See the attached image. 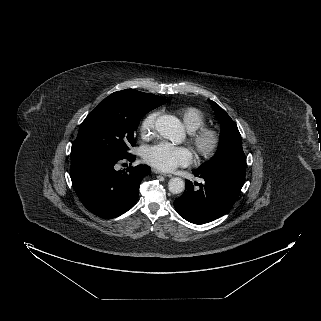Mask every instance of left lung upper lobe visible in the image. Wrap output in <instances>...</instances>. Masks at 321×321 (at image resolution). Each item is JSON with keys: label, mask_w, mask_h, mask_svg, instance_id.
Here are the masks:
<instances>
[{"label": "left lung upper lobe", "mask_w": 321, "mask_h": 321, "mask_svg": "<svg viewBox=\"0 0 321 321\" xmlns=\"http://www.w3.org/2000/svg\"><path fill=\"white\" fill-rule=\"evenodd\" d=\"M209 102L221 124V133L217 152L200 168L230 160H246L237 125L217 103L212 100H209Z\"/></svg>", "instance_id": "5c2ea615"}]
</instances>
